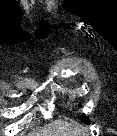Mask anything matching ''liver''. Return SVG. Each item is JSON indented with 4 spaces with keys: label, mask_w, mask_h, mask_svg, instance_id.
Wrapping results in <instances>:
<instances>
[{
    "label": "liver",
    "mask_w": 117,
    "mask_h": 136,
    "mask_svg": "<svg viewBox=\"0 0 117 136\" xmlns=\"http://www.w3.org/2000/svg\"><path fill=\"white\" fill-rule=\"evenodd\" d=\"M81 134L78 126L65 121L56 120L46 128L34 132L33 136H79Z\"/></svg>",
    "instance_id": "1"
}]
</instances>
